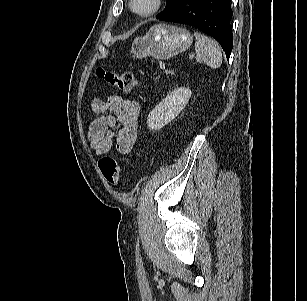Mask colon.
<instances>
[{
  "label": "colon",
  "instance_id": "colon-1",
  "mask_svg": "<svg viewBox=\"0 0 307 301\" xmlns=\"http://www.w3.org/2000/svg\"><path fill=\"white\" fill-rule=\"evenodd\" d=\"M96 75L108 85L124 91H129L134 88L141 87L142 85L131 72L119 73L98 67L96 69ZM98 167L109 183L113 185L118 184L120 177V166L115 158L111 156H103L98 162Z\"/></svg>",
  "mask_w": 307,
  "mask_h": 301
}]
</instances>
